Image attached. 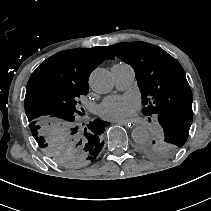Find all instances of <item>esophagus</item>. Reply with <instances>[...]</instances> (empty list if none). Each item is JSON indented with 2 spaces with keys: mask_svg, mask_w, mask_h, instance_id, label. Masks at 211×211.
<instances>
[{
  "mask_svg": "<svg viewBox=\"0 0 211 211\" xmlns=\"http://www.w3.org/2000/svg\"><path fill=\"white\" fill-rule=\"evenodd\" d=\"M111 122L117 123V124H120V125H126L127 130H132L133 127L135 126V123L130 122L128 120H112Z\"/></svg>",
  "mask_w": 211,
  "mask_h": 211,
  "instance_id": "34e87169",
  "label": "esophagus"
}]
</instances>
